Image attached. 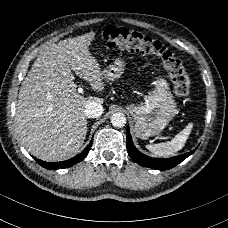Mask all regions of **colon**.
I'll list each match as a JSON object with an SVG mask.
<instances>
[{"label":"colon","mask_w":228,"mask_h":228,"mask_svg":"<svg viewBox=\"0 0 228 228\" xmlns=\"http://www.w3.org/2000/svg\"><path fill=\"white\" fill-rule=\"evenodd\" d=\"M100 38L112 48L136 49L157 57L169 72L174 93L185 97L191 92V82L182 60L160 41L136 30L109 26L101 30Z\"/></svg>","instance_id":"obj_1"}]
</instances>
